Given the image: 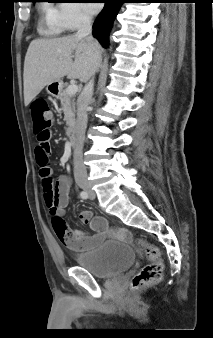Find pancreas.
<instances>
[{
  "label": "pancreas",
  "instance_id": "1",
  "mask_svg": "<svg viewBox=\"0 0 213 338\" xmlns=\"http://www.w3.org/2000/svg\"><path fill=\"white\" fill-rule=\"evenodd\" d=\"M60 100L64 112V121L68 126V130H70L75 125V99L73 95H69L66 90H63L60 94Z\"/></svg>",
  "mask_w": 213,
  "mask_h": 338
}]
</instances>
